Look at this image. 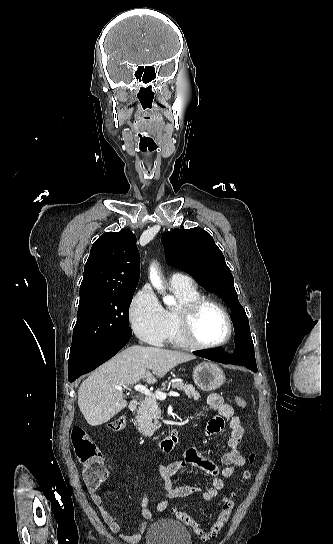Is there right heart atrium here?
<instances>
[{"instance_id": "obj_1", "label": "right heart atrium", "mask_w": 333, "mask_h": 544, "mask_svg": "<svg viewBox=\"0 0 333 544\" xmlns=\"http://www.w3.org/2000/svg\"><path fill=\"white\" fill-rule=\"evenodd\" d=\"M130 326L137 337L155 346L167 340L168 320L165 309L148 286L140 289L129 307Z\"/></svg>"}]
</instances>
